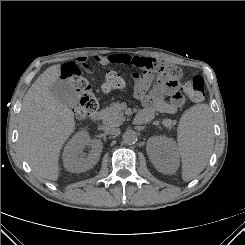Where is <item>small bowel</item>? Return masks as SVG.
I'll return each instance as SVG.
<instances>
[{
	"mask_svg": "<svg viewBox=\"0 0 245 245\" xmlns=\"http://www.w3.org/2000/svg\"><path fill=\"white\" fill-rule=\"evenodd\" d=\"M95 59L102 65L120 64L134 68V95L143 106L139 114L145 116L147 122L156 112L174 114L183 106L185 98L179 91L177 82L159 77L152 86L156 62L154 59L128 54L96 56ZM81 62L85 64L86 58H81Z\"/></svg>",
	"mask_w": 245,
	"mask_h": 245,
	"instance_id": "obj_1",
	"label": "small bowel"
}]
</instances>
